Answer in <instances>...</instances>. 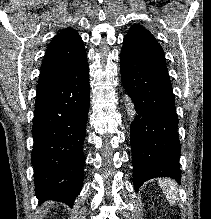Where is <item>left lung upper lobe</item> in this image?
Returning a JSON list of instances; mask_svg holds the SVG:
<instances>
[{
    "mask_svg": "<svg viewBox=\"0 0 211 219\" xmlns=\"http://www.w3.org/2000/svg\"><path fill=\"white\" fill-rule=\"evenodd\" d=\"M125 38H130L138 41H144V42H155L158 43L153 35L145 29L144 27H141L140 25H133Z\"/></svg>",
    "mask_w": 211,
    "mask_h": 219,
    "instance_id": "obj_1",
    "label": "left lung upper lobe"
}]
</instances>
